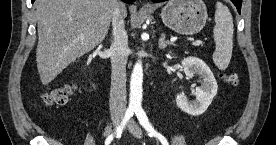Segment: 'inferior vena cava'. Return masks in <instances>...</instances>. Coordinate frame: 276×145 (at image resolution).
I'll use <instances>...</instances> for the list:
<instances>
[{"instance_id":"602c4592","label":"inferior vena cava","mask_w":276,"mask_h":145,"mask_svg":"<svg viewBox=\"0 0 276 145\" xmlns=\"http://www.w3.org/2000/svg\"><path fill=\"white\" fill-rule=\"evenodd\" d=\"M124 7L122 3H118L112 17V74L109 99L111 116H122L126 110V64L129 48L124 25Z\"/></svg>"}]
</instances>
